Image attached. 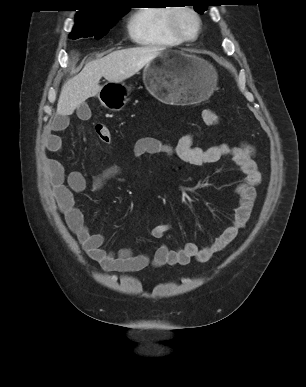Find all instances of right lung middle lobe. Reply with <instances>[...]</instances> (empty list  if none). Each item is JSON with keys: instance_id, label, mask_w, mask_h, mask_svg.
<instances>
[{"instance_id": "obj_1", "label": "right lung middle lobe", "mask_w": 306, "mask_h": 387, "mask_svg": "<svg viewBox=\"0 0 306 387\" xmlns=\"http://www.w3.org/2000/svg\"><path fill=\"white\" fill-rule=\"evenodd\" d=\"M126 10L111 15L105 18L98 19H78L76 18V24L71 32L70 36L73 39L94 37L96 39L102 38L112 28L130 8L125 7Z\"/></svg>"}]
</instances>
